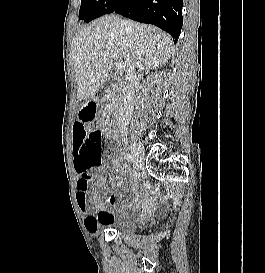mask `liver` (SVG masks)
Here are the masks:
<instances>
[{
	"label": "liver",
	"instance_id": "1",
	"mask_svg": "<svg viewBox=\"0 0 265 273\" xmlns=\"http://www.w3.org/2000/svg\"><path fill=\"white\" fill-rule=\"evenodd\" d=\"M127 22L124 29L121 19L106 15L83 27L73 38L71 50L79 102L94 96L108 80L113 59L109 54L124 60L127 68L135 62L136 68L146 71L170 58L172 41L167 33L154 26Z\"/></svg>",
	"mask_w": 265,
	"mask_h": 273
}]
</instances>
